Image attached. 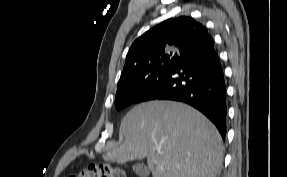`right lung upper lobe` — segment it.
<instances>
[{
    "instance_id": "right-lung-upper-lobe-1",
    "label": "right lung upper lobe",
    "mask_w": 287,
    "mask_h": 177,
    "mask_svg": "<svg viewBox=\"0 0 287 177\" xmlns=\"http://www.w3.org/2000/svg\"><path fill=\"white\" fill-rule=\"evenodd\" d=\"M205 30L201 23L187 16L171 18L151 28L129 49L117 86L134 82L143 71L161 59L179 57Z\"/></svg>"
}]
</instances>
